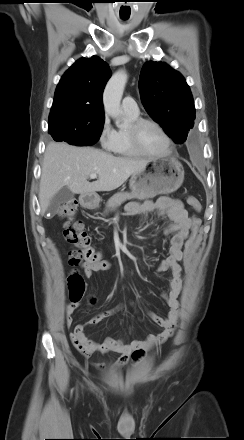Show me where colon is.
I'll return each instance as SVG.
<instances>
[{"label":"colon","instance_id":"1","mask_svg":"<svg viewBox=\"0 0 244 440\" xmlns=\"http://www.w3.org/2000/svg\"><path fill=\"white\" fill-rule=\"evenodd\" d=\"M187 202L195 211L198 212L201 210V204L196 197L189 196ZM76 209L77 203L74 200H69L61 204L57 210L58 216L65 220L63 224V235L65 239L70 244L78 247V249L70 252V263L77 265L84 259L86 262L94 265L109 267V263L102 258L101 254L90 246V238L83 230L81 222L74 220ZM200 226V218L194 216L191 225V236L185 244L184 254L186 259L191 255ZM68 287L72 302H78L85 296L87 287L78 272L73 271L70 273L68 277Z\"/></svg>","mask_w":244,"mask_h":440}]
</instances>
